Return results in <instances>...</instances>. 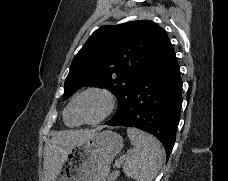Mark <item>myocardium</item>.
I'll use <instances>...</instances> for the list:
<instances>
[{"label": "myocardium", "instance_id": "f54148a6", "mask_svg": "<svg viewBox=\"0 0 228 181\" xmlns=\"http://www.w3.org/2000/svg\"><path fill=\"white\" fill-rule=\"evenodd\" d=\"M88 94H96V95L100 96L103 100V106L97 117H95L94 119H91V120H83L79 114L78 103H79V100L83 96L88 95ZM73 106H74L75 114L83 123L96 124V123L101 122L103 119H105L111 113V111L113 110V108L115 106V97L113 96V94L111 92H109L105 89L90 88V89L83 91L81 94H79L76 97V99L73 102Z\"/></svg>", "mask_w": 228, "mask_h": 181}]
</instances>
